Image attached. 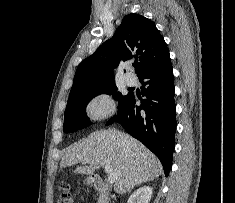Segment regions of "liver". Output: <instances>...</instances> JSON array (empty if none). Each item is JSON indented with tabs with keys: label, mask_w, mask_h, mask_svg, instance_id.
Segmentation results:
<instances>
[{
	"label": "liver",
	"mask_w": 235,
	"mask_h": 203,
	"mask_svg": "<svg viewBox=\"0 0 235 203\" xmlns=\"http://www.w3.org/2000/svg\"><path fill=\"white\" fill-rule=\"evenodd\" d=\"M78 163L77 173H93L109 166L117 173L115 192L126 193L138 184L152 181L162 173L158 158L141 142L117 130H100L66 149L60 168Z\"/></svg>",
	"instance_id": "1"
}]
</instances>
